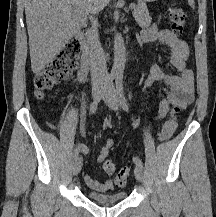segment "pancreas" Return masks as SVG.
<instances>
[{"mask_svg":"<svg viewBox=\"0 0 216 217\" xmlns=\"http://www.w3.org/2000/svg\"><path fill=\"white\" fill-rule=\"evenodd\" d=\"M133 16L140 27L147 28L150 26L152 18L145 3L140 2L135 6Z\"/></svg>","mask_w":216,"mask_h":217,"instance_id":"obj_1","label":"pancreas"}]
</instances>
